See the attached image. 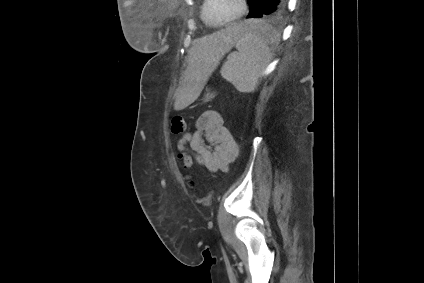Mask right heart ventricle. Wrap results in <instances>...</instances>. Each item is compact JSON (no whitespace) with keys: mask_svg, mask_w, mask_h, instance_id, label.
<instances>
[{"mask_svg":"<svg viewBox=\"0 0 424 283\" xmlns=\"http://www.w3.org/2000/svg\"><path fill=\"white\" fill-rule=\"evenodd\" d=\"M203 7H204V3L202 4V7H201V14H202V17H203Z\"/></svg>","mask_w":424,"mask_h":283,"instance_id":"obj_1","label":"right heart ventricle"}]
</instances>
